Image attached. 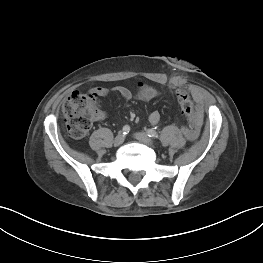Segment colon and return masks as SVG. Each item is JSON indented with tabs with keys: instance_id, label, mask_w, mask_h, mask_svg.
Listing matches in <instances>:
<instances>
[{
	"instance_id": "1",
	"label": "colon",
	"mask_w": 263,
	"mask_h": 263,
	"mask_svg": "<svg viewBox=\"0 0 263 263\" xmlns=\"http://www.w3.org/2000/svg\"><path fill=\"white\" fill-rule=\"evenodd\" d=\"M176 97L191 133L194 134L198 126V117L192 100L184 89H177ZM97 102L98 95L93 91L74 92L70 95L62 107V115L70 137L79 139L87 134L97 114Z\"/></svg>"
}]
</instances>
